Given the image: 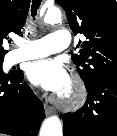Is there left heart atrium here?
Returning a JSON list of instances; mask_svg holds the SVG:
<instances>
[{"mask_svg":"<svg viewBox=\"0 0 117 136\" xmlns=\"http://www.w3.org/2000/svg\"><path fill=\"white\" fill-rule=\"evenodd\" d=\"M29 80L47 91L61 94L70 84V77L61 61L43 58L32 62L27 70Z\"/></svg>","mask_w":117,"mask_h":136,"instance_id":"left-heart-atrium-1","label":"left heart atrium"}]
</instances>
